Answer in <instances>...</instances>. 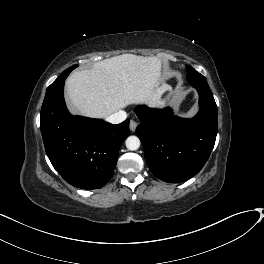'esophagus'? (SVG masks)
Here are the masks:
<instances>
[{
	"label": "esophagus",
	"instance_id": "34e87169",
	"mask_svg": "<svg viewBox=\"0 0 264 264\" xmlns=\"http://www.w3.org/2000/svg\"><path fill=\"white\" fill-rule=\"evenodd\" d=\"M138 123L135 120H130L129 126H130V130L132 132H134L136 130Z\"/></svg>",
	"mask_w": 264,
	"mask_h": 264
}]
</instances>
